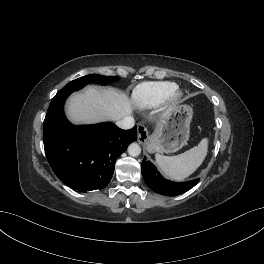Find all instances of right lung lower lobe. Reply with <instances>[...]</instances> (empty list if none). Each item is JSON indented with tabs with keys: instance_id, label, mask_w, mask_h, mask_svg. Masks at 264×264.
I'll list each match as a JSON object with an SVG mask.
<instances>
[{
	"instance_id": "right-lung-lower-lobe-1",
	"label": "right lung lower lobe",
	"mask_w": 264,
	"mask_h": 264,
	"mask_svg": "<svg viewBox=\"0 0 264 264\" xmlns=\"http://www.w3.org/2000/svg\"><path fill=\"white\" fill-rule=\"evenodd\" d=\"M64 101L48 110L43 142L56 176L79 192L103 189L110 182L116 159L137 140V128L122 130L106 122L74 126L63 112Z\"/></svg>"
}]
</instances>
